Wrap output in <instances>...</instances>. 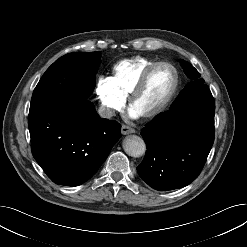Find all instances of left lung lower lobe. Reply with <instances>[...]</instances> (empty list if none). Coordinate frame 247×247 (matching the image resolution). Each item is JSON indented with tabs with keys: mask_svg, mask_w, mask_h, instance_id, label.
I'll use <instances>...</instances> for the list:
<instances>
[{
	"mask_svg": "<svg viewBox=\"0 0 247 247\" xmlns=\"http://www.w3.org/2000/svg\"><path fill=\"white\" fill-rule=\"evenodd\" d=\"M215 102L207 85L160 113L141 131L146 154L139 176L160 191L182 188L200 174L214 142Z\"/></svg>",
	"mask_w": 247,
	"mask_h": 247,
	"instance_id": "left-lung-lower-lobe-1",
	"label": "left lung lower lobe"
}]
</instances>
